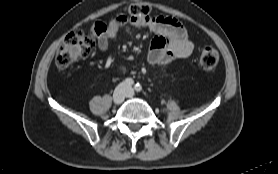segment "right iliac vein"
Masks as SVG:
<instances>
[{
    "label": "right iliac vein",
    "mask_w": 278,
    "mask_h": 174,
    "mask_svg": "<svg viewBox=\"0 0 278 174\" xmlns=\"http://www.w3.org/2000/svg\"><path fill=\"white\" fill-rule=\"evenodd\" d=\"M126 96V87L122 84L119 85L113 94V101L115 104L119 105L121 104Z\"/></svg>",
    "instance_id": "right-iliac-vein-1"
}]
</instances>
